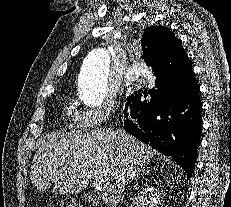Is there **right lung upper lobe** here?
Segmentation results:
<instances>
[{
    "label": "right lung upper lobe",
    "mask_w": 231,
    "mask_h": 207,
    "mask_svg": "<svg viewBox=\"0 0 231 207\" xmlns=\"http://www.w3.org/2000/svg\"><path fill=\"white\" fill-rule=\"evenodd\" d=\"M141 41L144 61L156 72L166 69H182L190 65L181 42L167 27L156 26L154 31Z\"/></svg>",
    "instance_id": "obj_1"
}]
</instances>
